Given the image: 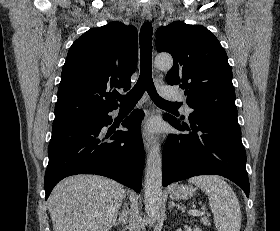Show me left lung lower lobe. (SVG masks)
Instances as JSON below:
<instances>
[{
  "label": "left lung lower lobe",
  "mask_w": 280,
  "mask_h": 231,
  "mask_svg": "<svg viewBox=\"0 0 280 231\" xmlns=\"http://www.w3.org/2000/svg\"><path fill=\"white\" fill-rule=\"evenodd\" d=\"M174 128L187 134H170L162 153V185L197 175L224 176L249 197L246 152L237 116H189L191 130L182 120L168 115Z\"/></svg>",
  "instance_id": "1"
}]
</instances>
